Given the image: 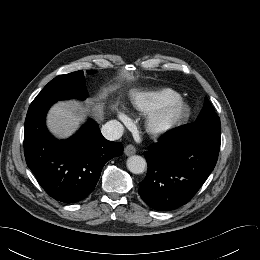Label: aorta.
<instances>
[{"mask_svg": "<svg viewBox=\"0 0 260 260\" xmlns=\"http://www.w3.org/2000/svg\"><path fill=\"white\" fill-rule=\"evenodd\" d=\"M146 167H147L146 160L141 156L133 155L127 159V168L130 172L134 174L143 173Z\"/></svg>", "mask_w": 260, "mask_h": 260, "instance_id": "762f6f07", "label": "aorta"}]
</instances>
